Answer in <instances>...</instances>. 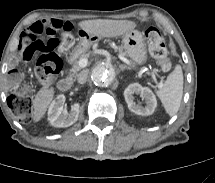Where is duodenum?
<instances>
[{
  "mask_svg": "<svg viewBox=\"0 0 215 183\" xmlns=\"http://www.w3.org/2000/svg\"><path fill=\"white\" fill-rule=\"evenodd\" d=\"M73 85V80L71 78H64L59 81L58 88L65 92L68 91Z\"/></svg>",
  "mask_w": 215,
  "mask_h": 183,
  "instance_id": "obj_1",
  "label": "duodenum"
}]
</instances>
